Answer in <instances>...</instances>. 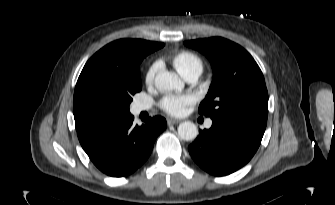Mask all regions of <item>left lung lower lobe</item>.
<instances>
[{
	"label": "left lung lower lobe",
	"mask_w": 335,
	"mask_h": 205,
	"mask_svg": "<svg viewBox=\"0 0 335 205\" xmlns=\"http://www.w3.org/2000/svg\"><path fill=\"white\" fill-rule=\"evenodd\" d=\"M209 130H199V136L188 147L193 160L206 172L224 176L243 167L257 151L264 128L247 122L214 117Z\"/></svg>",
	"instance_id": "0a47b994"
}]
</instances>
